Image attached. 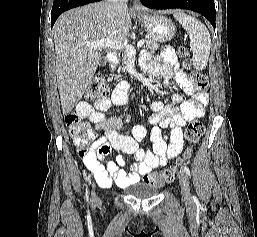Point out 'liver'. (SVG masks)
Segmentation results:
<instances>
[{"instance_id": "1", "label": "liver", "mask_w": 257, "mask_h": 237, "mask_svg": "<svg viewBox=\"0 0 257 237\" xmlns=\"http://www.w3.org/2000/svg\"><path fill=\"white\" fill-rule=\"evenodd\" d=\"M132 22L127 9L98 2L63 13L53 27L56 75L62 111L69 113L82 98L101 61L99 50L86 42L109 39L122 43Z\"/></svg>"}]
</instances>
